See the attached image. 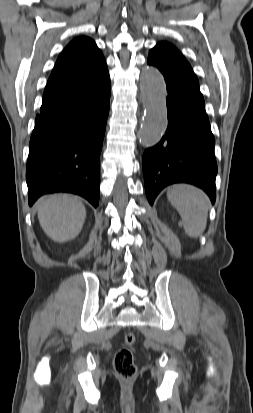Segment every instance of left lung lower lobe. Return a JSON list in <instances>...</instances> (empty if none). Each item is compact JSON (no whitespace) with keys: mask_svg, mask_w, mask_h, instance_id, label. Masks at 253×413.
<instances>
[{"mask_svg":"<svg viewBox=\"0 0 253 413\" xmlns=\"http://www.w3.org/2000/svg\"><path fill=\"white\" fill-rule=\"evenodd\" d=\"M149 65L163 74L167 87L168 127L142 159L145 191L150 204L167 185L190 183L202 188L215 202L217 164L215 139L205 111L196 75L161 65L151 58Z\"/></svg>","mask_w":253,"mask_h":413,"instance_id":"0a47b994","label":"left lung lower lobe"}]
</instances>
